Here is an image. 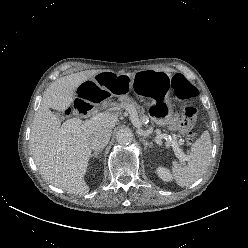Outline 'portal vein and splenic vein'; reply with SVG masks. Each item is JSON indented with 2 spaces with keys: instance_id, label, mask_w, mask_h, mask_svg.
Returning <instances> with one entry per match:
<instances>
[{
  "instance_id": "1",
  "label": "portal vein and splenic vein",
  "mask_w": 248,
  "mask_h": 248,
  "mask_svg": "<svg viewBox=\"0 0 248 248\" xmlns=\"http://www.w3.org/2000/svg\"><path fill=\"white\" fill-rule=\"evenodd\" d=\"M129 115H130V119H131V122L133 123V125L137 128H140L141 127V122L138 118V115H137V112L133 109V108H130L129 109ZM110 116V113L107 111V112H102V113H99L97 114L96 116H94L93 118H91L90 120H87L85 122V124H90L92 122H95V121H100L104 118H108ZM83 121L79 118H73V119H69L67 121H65L62 126H61V131L64 132V133H74V132H77L81 126L83 125ZM139 134H144V132H140ZM162 137L158 136L157 137V140L156 142L159 141V139H161ZM169 145L172 146L174 152H175V155L177 157H179L181 160L185 161L186 160V155L181 151V149L179 148L178 146V143L176 141H168L167 142Z\"/></svg>"
}]
</instances>
